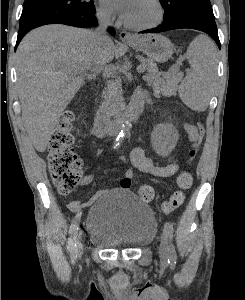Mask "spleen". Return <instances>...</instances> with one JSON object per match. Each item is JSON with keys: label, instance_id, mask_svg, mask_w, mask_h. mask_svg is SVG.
Listing matches in <instances>:
<instances>
[{"label": "spleen", "instance_id": "3e777b00", "mask_svg": "<svg viewBox=\"0 0 245 300\" xmlns=\"http://www.w3.org/2000/svg\"><path fill=\"white\" fill-rule=\"evenodd\" d=\"M187 59L191 70L179 87V96L192 110L205 111L213 92L217 67L216 47L208 37L198 36L188 47Z\"/></svg>", "mask_w": 245, "mask_h": 300}]
</instances>
